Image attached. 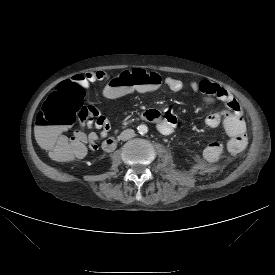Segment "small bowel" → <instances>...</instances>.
Instances as JSON below:
<instances>
[{"label": "small bowel", "instance_id": "c3829d8e", "mask_svg": "<svg viewBox=\"0 0 275 275\" xmlns=\"http://www.w3.org/2000/svg\"><path fill=\"white\" fill-rule=\"evenodd\" d=\"M105 74L101 71L87 74H76L72 80L87 88L91 83L102 80ZM164 84L172 91L178 92L184 88V83L173 77H166ZM191 89L194 92L205 94L204 101L210 103L212 97H216L223 102V110L211 112L205 116L204 122L209 127L222 126L229 137L228 146L231 153L241 152L247 144L246 125L241 116V109L234 97L223 87L212 81L205 79L201 82H191ZM147 116L151 123L157 125L158 130L163 134H171L177 126V116L172 109L161 112L160 109L153 107L149 109ZM90 129H98L99 133L90 132L85 134L83 130L79 131L80 136L88 143L89 150L95 152L98 148L97 143L104 139L109 130V124L106 118L93 107V113L88 120L82 124ZM224 143L217 138L211 139L203 148V157L210 162L221 158L224 153Z\"/></svg>", "mask_w": 275, "mask_h": 275}]
</instances>
